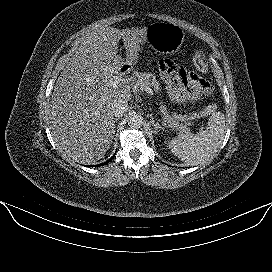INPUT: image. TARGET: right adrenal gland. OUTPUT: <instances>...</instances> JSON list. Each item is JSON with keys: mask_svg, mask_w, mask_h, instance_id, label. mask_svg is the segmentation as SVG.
<instances>
[{"mask_svg": "<svg viewBox=\"0 0 272 272\" xmlns=\"http://www.w3.org/2000/svg\"><path fill=\"white\" fill-rule=\"evenodd\" d=\"M118 121V118L114 119V128L116 127V122ZM113 134H115V130H113Z\"/></svg>", "mask_w": 272, "mask_h": 272, "instance_id": "obj_1", "label": "right adrenal gland"}]
</instances>
